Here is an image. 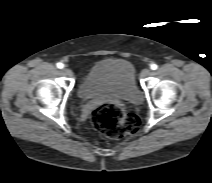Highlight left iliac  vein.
Here are the masks:
<instances>
[{"label":"left iliac vein","instance_id":"4c4485c4","mask_svg":"<svg viewBox=\"0 0 212 183\" xmlns=\"http://www.w3.org/2000/svg\"><path fill=\"white\" fill-rule=\"evenodd\" d=\"M150 74H151V70L149 68H145L141 72V77L146 78V77L150 76Z\"/></svg>","mask_w":212,"mask_h":183}]
</instances>
